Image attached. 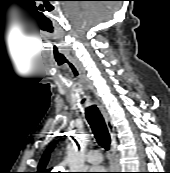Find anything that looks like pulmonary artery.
I'll return each instance as SVG.
<instances>
[{
  "instance_id": "pulmonary-artery-1",
  "label": "pulmonary artery",
  "mask_w": 170,
  "mask_h": 173,
  "mask_svg": "<svg viewBox=\"0 0 170 173\" xmlns=\"http://www.w3.org/2000/svg\"><path fill=\"white\" fill-rule=\"evenodd\" d=\"M86 159L90 164L98 165L102 162V154L99 150L92 149L86 153Z\"/></svg>"
}]
</instances>
